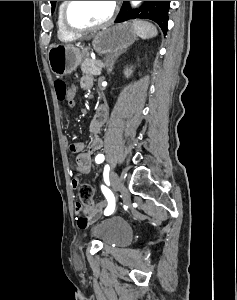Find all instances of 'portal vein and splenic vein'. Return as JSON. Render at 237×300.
<instances>
[{
	"instance_id": "obj_1",
	"label": "portal vein and splenic vein",
	"mask_w": 237,
	"mask_h": 300,
	"mask_svg": "<svg viewBox=\"0 0 237 300\" xmlns=\"http://www.w3.org/2000/svg\"><path fill=\"white\" fill-rule=\"evenodd\" d=\"M98 62H99V61H98ZM98 64H99L100 66H97V67H100L101 69L104 68V64H105L104 62H101V61H100Z\"/></svg>"
}]
</instances>
